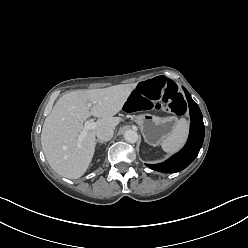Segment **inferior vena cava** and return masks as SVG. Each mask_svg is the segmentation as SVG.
Masks as SVG:
<instances>
[{"label": "inferior vena cava", "instance_id": "obj_1", "mask_svg": "<svg viewBox=\"0 0 248 248\" xmlns=\"http://www.w3.org/2000/svg\"><path fill=\"white\" fill-rule=\"evenodd\" d=\"M113 133V128L105 126L97 130L96 136L100 141H109L113 137Z\"/></svg>", "mask_w": 248, "mask_h": 248}]
</instances>
